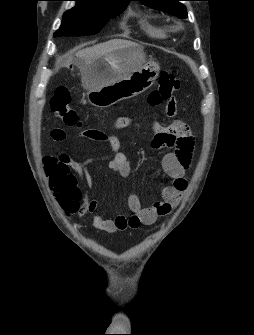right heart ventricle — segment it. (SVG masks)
<instances>
[{"instance_id":"e07e8e85","label":"right heart ventricle","mask_w":254,"mask_h":335,"mask_svg":"<svg viewBox=\"0 0 254 335\" xmlns=\"http://www.w3.org/2000/svg\"><path fill=\"white\" fill-rule=\"evenodd\" d=\"M141 27L151 37L165 38L167 36V29L165 27L157 25L148 19L141 21Z\"/></svg>"}]
</instances>
